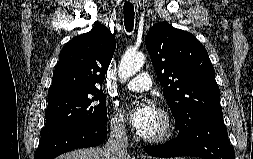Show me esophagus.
<instances>
[{
    "label": "esophagus",
    "instance_id": "34e87169",
    "mask_svg": "<svg viewBox=\"0 0 253 159\" xmlns=\"http://www.w3.org/2000/svg\"><path fill=\"white\" fill-rule=\"evenodd\" d=\"M130 2H132L134 5L137 4V0H129Z\"/></svg>",
    "mask_w": 253,
    "mask_h": 159
}]
</instances>
